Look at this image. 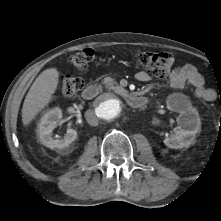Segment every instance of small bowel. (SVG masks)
Wrapping results in <instances>:
<instances>
[{"mask_svg": "<svg viewBox=\"0 0 221 221\" xmlns=\"http://www.w3.org/2000/svg\"><path fill=\"white\" fill-rule=\"evenodd\" d=\"M136 79L140 82H146L150 77L146 72L140 71L136 74ZM169 82L170 86L175 89H182L186 85L194 87L195 95L204 101L211 102L216 99V92L205 87L203 77L191 64H184L175 68L170 74Z\"/></svg>", "mask_w": 221, "mask_h": 221, "instance_id": "small-bowel-1", "label": "small bowel"}]
</instances>
